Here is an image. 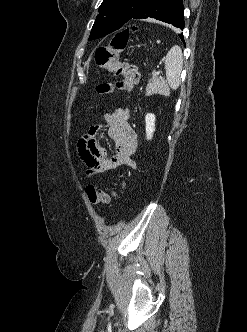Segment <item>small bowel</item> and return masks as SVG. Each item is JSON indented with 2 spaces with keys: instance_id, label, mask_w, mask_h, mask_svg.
<instances>
[{
  "instance_id": "c3829d8e",
  "label": "small bowel",
  "mask_w": 247,
  "mask_h": 332,
  "mask_svg": "<svg viewBox=\"0 0 247 332\" xmlns=\"http://www.w3.org/2000/svg\"><path fill=\"white\" fill-rule=\"evenodd\" d=\"M128 109H116L103 115L102 125L90 126L78 143V152L88 174H104L116 170L121 165L134 167L132 155L137 149V134L128 122ZM105 130L115 147L113 155L98 144L97 135Z\"/></svg>"
}]
</instances>
